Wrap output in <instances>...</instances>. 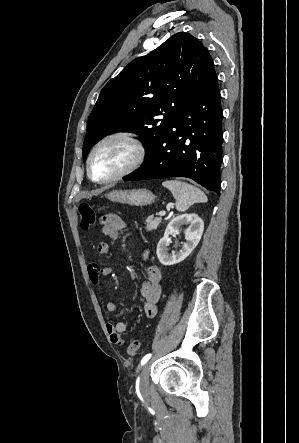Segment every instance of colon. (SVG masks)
Masks as SVG:
<instances>
[{"instance_id":"colon-1","label":"colon","mask_w":299,"mask_h":443,"mask_svg":"<svg viewBox=\"0 0 299 443\" xmlns=\"http://www.w3.org/2000/svg\"><path fill=\"white\" fill-rule=\"evenodd\" d=\"M78 213L80 216V227L84 230L89 229L94 226L96 223V213L91 205L86 202H80L78 205ZM140 349V341L138 339H134L128 349L127 353L131 357H135L138 355Z\"/></svg>"}]
</instances>
